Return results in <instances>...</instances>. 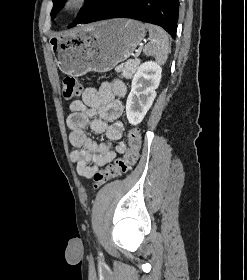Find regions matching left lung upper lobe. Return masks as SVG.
<instances>
[{"label": "left lung upper lobe", "instance_id": "1", "mask_svg": "<svg viewBox=\"0 0 247 280\" xmlns=\"http://www.w3.org/2000/svg\"><path fill=\"white\" fill-rule=\"evenodd\" d=\"M107 0H89V4L82 7L77 18L73 22L74 25L86 18L92 11L104 4ZM64 0H53V9L51 11V18L54 19L56 14L60 11Z\"/></svg>", "mask_w": 247, "mask_h": 280}]
</instances>
